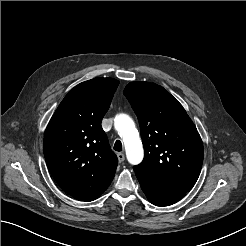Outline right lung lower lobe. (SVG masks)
Here are the masks:
<instances>
[{
    "label": "right lung lower lobe",
    "mask_w": 246,
    "mask_h": 246,
    "mask_svg": "<svg viewBox=\"0 0 246 246\" xmlns=\"http://www.w3.org/2000/svg\"><path fill=\"white\" fill-rule=\"evenodd\" d=\"M98 196H90V197H75L79 200H83V201H92L94 199H96Z\"/></svg>",
    "instance_id": "obj_1"
}]
</instances>
